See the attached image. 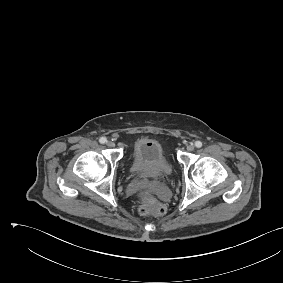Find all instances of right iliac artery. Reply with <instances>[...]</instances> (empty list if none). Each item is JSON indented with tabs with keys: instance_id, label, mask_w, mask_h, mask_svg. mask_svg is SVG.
Listing matches in <instances>:
<instances>
[{
	"instance_id": "82829eb1",
	"label": "right iliac artery",
	"mask_w": 283,
	"mask_h": 283,
	"mask_svg": "<svg viewBox=\"0 0 283 283\" xmlns=\"http://www.w3.org/2000/svg\"><path fill=\"white\" fill-rule=\"evenodd\" d=\"M99 142H100L101 144H104V143L107 142V139H106L105 137H101V138L99 139Z\"/></svg>"
}]
</instances>
